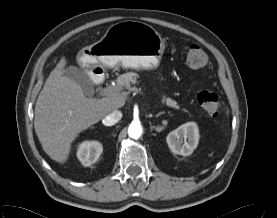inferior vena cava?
<instances>
[{
	"instance_id": "602c4592",
	"label": "inferior vena cava",
	"mask_w": 277,
	"mask_h": 218,
	"mask_svg": "<svg viewBox=\"0 0 277 218\" xmlns=\"http://www.w3.org/2000/svg\"><path fill=\"white\" fill-rule=\"evenodd\" d=\"M121 118H122L121 111L114 110L103 118L102 123L105 126H112V125H115L119 120H121Z\"/></svg>"
}]
</instances>
